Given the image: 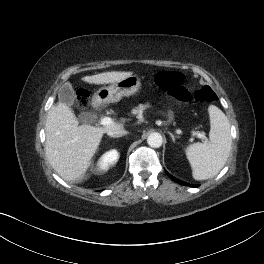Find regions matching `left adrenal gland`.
I'll list each match as a JSON object with an SVG mask.
<instances>
[{
  "label": "left adrenal gland",
  "instance_id": "obj_1",
  "mask_svg": "<svg viewBox=\"0 0 264 264\" xmlns=\"http://www.w3.org/2000/svg\"><path fill=\"white\" fill-rule=\"evenodd\" d=\"M168 134L170 135L172 141L175 143V136L171 132H168ZM176 138H178V137H176Z\"/></svg>",
  "mask_w": 264,
  "mask_h": 264
}]
</instances>
